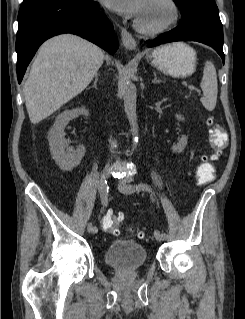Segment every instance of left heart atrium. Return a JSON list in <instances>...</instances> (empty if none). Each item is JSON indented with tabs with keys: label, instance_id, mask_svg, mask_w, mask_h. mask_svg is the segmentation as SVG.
<instances>
[{
	"label": "left heart atrium",
	"instance_id": "39dd6f15",
	"mask_svg": "<svg viewBox=\"0 0 245 319\" xmlns=\"http://www.w3.org/2000/svg\"><path fill=\"white\" fill-rule=\"evenodd\" d=\"M111 10L126 17L138 19L147 0H102Z\"/></svg>",
	"mask_w": 245,
	"mask_h": 319
}]
</instances>
